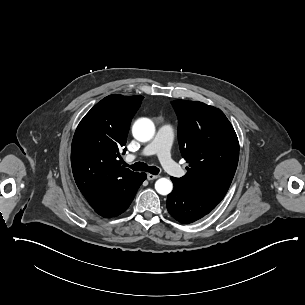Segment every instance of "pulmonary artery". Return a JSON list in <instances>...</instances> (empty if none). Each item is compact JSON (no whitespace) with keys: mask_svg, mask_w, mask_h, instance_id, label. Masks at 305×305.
Listing matches in <instances>:
<instances>
[{"mask_svg":"<svg viewBox=\"0 0 305 305\" xmlns=\"http://www.w3.org/2000/svg\"><path fill=\"white\" fill-rule=\"evenodd\" d=\"M173 137V129L169 125H162L158 128L154 137L144 146L142 150L131 152L129 160H140L145 155H157L161 160L160 165L164 172L171 173L176 178H182L185 175L184 170L178 169L172 158L169 157V138Z\"/></svg>","mask_w":305,"mask_h":305,"instance_id":"pulmonary-artery-1","label":"pulmonary artery"}]
</instances>
